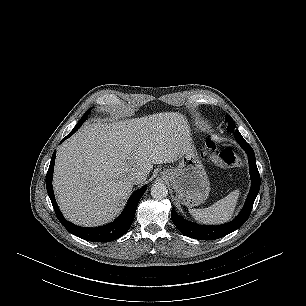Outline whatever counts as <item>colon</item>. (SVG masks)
Masks as SVG:
<instances>
[{"label":"colon","instance_id":"1","mask_svg":"<svg viewBox=\"0 0 306 306\" xmlns=\"http://www.w3.org/2000/svg\"><path fill=\"white\" fill-rule=\"evenodd\" d=\"M204 155L216 165L224 168L240 167L244 164L242 156L230 147L218 148L213 141L205 145Z\"/></svg>","mask_w":306,"mask_h":306}]
</instances>
